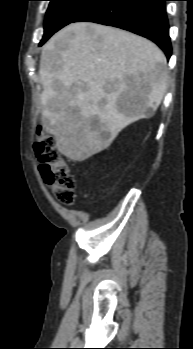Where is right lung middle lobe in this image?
I'll list each match as a JSON object with an SVG mask.
<instances>
[{
    "mask_svg": "<svg viewBox=\"0 0 193 349\" xmlns=\"http://www.w3.org/2000/svg\"><path fill=\"white\" fill-rule=\"evenodd\" d=\"M50 4L44 23V36L40 42L43 45L51 35L73 22L81 13L98 0H49Z\"/></svg>",
    "mask_w": 193,
    "mask_h": 349,
    "instance_id": "1",
    "label": "right lung middle lobe"
}]
</instances>
